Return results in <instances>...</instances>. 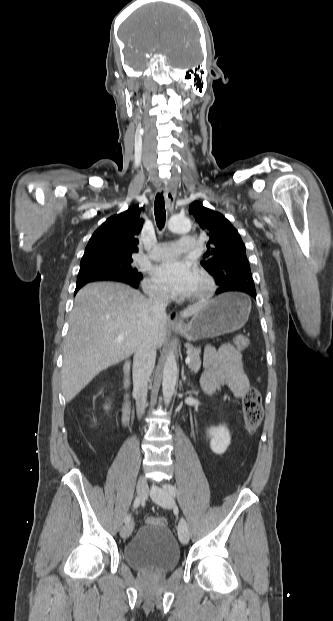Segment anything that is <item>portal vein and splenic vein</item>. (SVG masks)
<instances>
[{
  "label": "portal vein and splenic vein",
  "mask_w": 333,
  "mask_h": 621,
  "mask_svg": "<svg viewBox=\"0 0 333 621\" xmlns=\"http://www.w3.org/2000/svg\"><path fill=\"white\" fill-rule=\"evenodd\" d=\"M122 339H123V335H119L118 338H117L118 341H120ZM190 362H191V358L189 356H187L186 359H185V363L189 364Z\"/></svg>",
  "instance_id": "obj_1"
}]
</instances>
